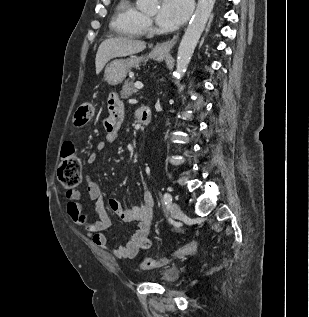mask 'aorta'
<instances>
[{"mask_svg": "<svg viewBox=\"0 0 309 317\" xmlns=\"http://www.w3.org/2000/svg\"><path fill=\"white\" fill-rule=\"evenodd\" d=\"M158 0H137L141 10H154ZM215 0H198L194 15L185 31L178 48L175 77L180 79L184 76L190 63L191 57L206 26L208 18L213 10Z\"/></svg>", "mask_w": 309, "mask_h": 317, "instance_id": "obj_1", "label": "aorta"}]
</instances>
